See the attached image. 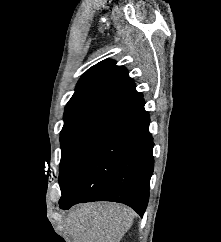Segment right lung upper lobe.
<instances>
[{"label":"right lung upper lobe","instance_id":"right-lung-upper-lobe-1","mask_svg":"<svg viewBox=\"0 0 221 242\" xmlns=\"http://www.w3.org/2000/svg\"><path fill=\"white\" fill-rule=\"evenodd\" d=\"M142 97L125 67L103 60L79 80L65 107L64 126L106 123Z\"/></svg>","mask_w":221,"mask_h":242}]
</instances>
